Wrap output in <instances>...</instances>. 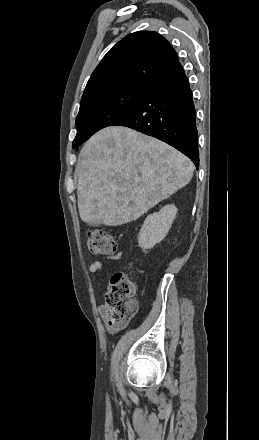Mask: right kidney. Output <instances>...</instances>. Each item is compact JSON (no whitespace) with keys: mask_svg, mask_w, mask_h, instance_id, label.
I'll return each instance as SVG.
<instances>
[{"mask_svg":"<svg viewBox=\"0 0 259 440\" xmlns=\"http://www.w3.org/2000/svg\"><path fill=\"white\" fill-rule=\"evenodd\" d=\"M176 213L175 205H166L159 212L149 215L140 229L138 245L148 250L161 242L171 228Z\"/></svg>","mask_w":259,"mask_h":440,"instance_id":"ca27d5eb","label":"right kidney"}]
</instances>
